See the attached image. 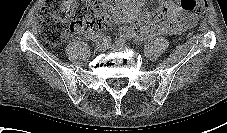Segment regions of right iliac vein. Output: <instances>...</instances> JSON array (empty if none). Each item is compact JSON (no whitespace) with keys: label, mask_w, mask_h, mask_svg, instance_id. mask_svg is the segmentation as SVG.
<instances>
[{"label":"right iliac vein","mask_w":227,"mask_h":133,"mask_svg":"<svg viewBox=\"0 0 227 133\" xmlns=\"http://www.w3.org/2000/svg\"><path fill=\"white\" fill-rule=\"evenodd\" d=\"M108 46L107 45H105L104 43H98L97 45H96V51H98V52H103V51H105L106 50V48H107Z\"/></svg>","instance_id":"right-iliac-vein-1"}]
</instances>
